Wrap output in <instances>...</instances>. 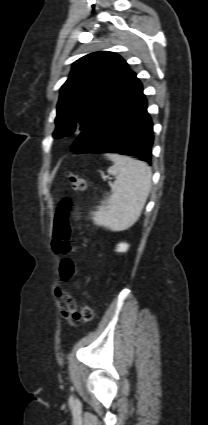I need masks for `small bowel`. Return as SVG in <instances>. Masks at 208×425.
I'll list each match as a JSON object with an SVG mask.
<instances>
[{
  "label": "small bowel",
  "instance_id": "c3829d8e",
  "mask_svg": "<svg viewBox=\"0 0 208 425\" xmlns=\"http://www.w3.org/2000/svg\"><path fill=\"white\" fill-rule=\"evenodd\" d=\"M63 304H64V302H62ZM65 305V304H64ZM64 316H67V313L66 312H64Z\"/></svg>",
  "mask_w": 208,
  "mask_h": 425
}]
</instances>
